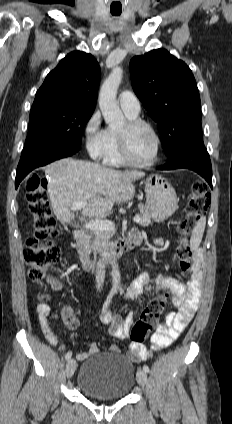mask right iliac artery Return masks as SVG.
Masks as SVG:
<instances>
[{
  "mask_svg": "<svg viewBox=\"0 0 232 424\" xmlns=\"http://www.w3.org/2000/svg\"><path fill=\"white\" fill-rule=\"evenodd\" d=\"M112 297H113V295H112V294H109V295L107 296V299H106V301H105V303H104V305H103L102 313H104V312H105V310L107 309L108 305H109V304H110V302H111ZM71 356H72V352H71V351H69V352H67V354L65 355V359L68 361V360L71 358Z\"/></svg>",
  "mask_w": 232,
  "mask_h": 424,
  "instance_id": "obj_1",
  "label": "right iliac artery"
}]
</instances>
